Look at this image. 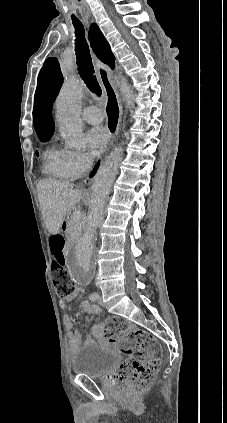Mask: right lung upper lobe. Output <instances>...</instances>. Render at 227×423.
<instances>
[{
	"label": "right lung upper lobe",
	"mask_w": 227,
	"mask_h": 423,
	"mask_svg": "<svg viewBox=\"0 0 227 423\" xmlns=\"http://www.w3.org/2000/svg\"><path fill=\"white\" fill-rule=\"evenodd\" d=\"M88 34L94 53L103 63L113 69L115 57L98 26L92 24ZM62 83L63 76L58 61L55 58H48L38 75L37 88L34 96L33 122L39 137L51 136L54 131L51 108Z\"/></svg>",
	"instance_id": "obj_1"
}]
</instances>
